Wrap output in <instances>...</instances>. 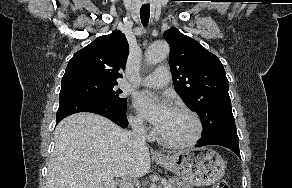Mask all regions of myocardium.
Wrapping results in <instances>:
<instances>
[{
	"instance_id": "myocardium-1",
	"label": "myocardium",
	"mask_w": 292,
	"mask_h": 188,
	"mask_svg": "<svg viewBox=\"0 0 292 188\" xmlns=\"http://www.w3.org/2000/svg\"><path fill=\"white\" fill-rule=\"evenodd\" d=\"M175 110H178L180 112H183L187 115H189L192 120L194 121L195 124V132L194 134L188 138L187 140L184 141H171L166 138H164L159 132L157 133V139L160 143L163 145L170 147V148H185L194 145L201 137L203 134V122L200 118V116L193 111L192 109L188 108L187 106L184 105H177L174 107Z\"/></svg>"
}]
</instances>
